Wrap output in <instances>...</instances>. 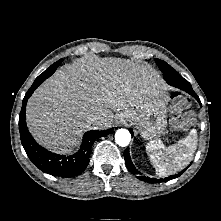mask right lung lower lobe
I'll return each mask as SVG.
<instances>
[{"instance_id":"1","label":"right lung lower lobe","mask_w":221,"mask_h":221,"mask_svg":"<svg viewBox=\"0 0 221 221\" xmlns=\"http://www.w3.org/2000/svg\"><path fill=\"white\" fill-rule=\"evenodd\" d=\"M57 67L51 70L44 71L39 75L30 89L27 91L23 103L22 109L19 115V131L22 145L32 161V163L45 173L54 176L61 177H73L81 174L89 163V157L91 153V147L94 141L100 137L107 136L113 129L104 131L91 130L84 134L83 141L80 150L70 156H61L52 153L42 146L38 145L31 136L26 126V104L28 98L32 95L35 89L49 76H51Z\"/></svg>"}]
</instances>
